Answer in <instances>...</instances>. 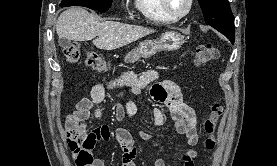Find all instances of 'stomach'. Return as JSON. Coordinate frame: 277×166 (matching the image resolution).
I'll list each match as a JSON object with an SVG mask.
<instances>
[{
  "instance_id": "0dacf381",
  "label": "stomach",
  "mask_w": 277,
  "mask_h": 166,
  "mask_svg": "<svg viewBox=\"0 0 277 166\" xmlns=\"http://www.w3.org/2000/svg\"><path fill=\"white\" fill-rule=\"evenodd\" d=\"M183 42V36L181 34L173 31L165 32L155 40L141 42L138 47L126 54L125 62L134 63L140 58L147 59L162 50H177Z\"/></svg>"
}]
</instances>
